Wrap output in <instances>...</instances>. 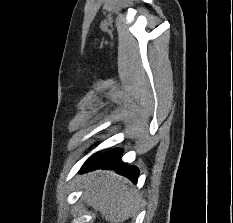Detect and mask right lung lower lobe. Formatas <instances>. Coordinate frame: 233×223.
<instances>
[{
	"mask_svg": "<svg viewBox=\"0 0 233 223\" xmlns=\"http://www.w3.org/2000/svg\"><path fill=\"white\" fill-rule=\"evenodd\" d=\"M121 149L110 150L99 157L92 156L84 164L81 173L96 170V169H113L117 173L129 178L133 183H136L139 171L135 166H128L122 163L120 157Z\"/></svg>",
	"mask_w": 233,
	"mask_h": 223,
	"instance_id": "98d812e1",
	"label": "right lung lower lobe"
}]
</instances>
